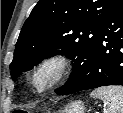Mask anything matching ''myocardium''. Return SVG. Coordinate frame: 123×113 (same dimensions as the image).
Wrapping results in <instances>:
<instances>
[{"mask_svg":"<svg viewBox=\"0 0 123 113\" xmlns=\"http://www.w3.org/2000/svg\"><path fill=\"white\" fill-rule=\"evenodd\" d=\"M69 64L66 54L45 56L32 66L27 81L36 93L43 94L66 77Z\"/></svg>","mask_w":123,"mask_h":113,"instance_id":"1","label":"myocardium"}]
</instances>
